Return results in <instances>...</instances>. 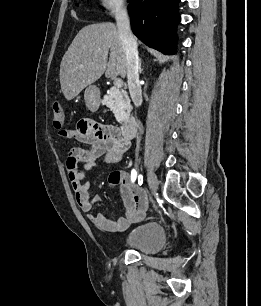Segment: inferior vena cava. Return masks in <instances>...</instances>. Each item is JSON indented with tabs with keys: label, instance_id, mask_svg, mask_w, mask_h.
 <instances>
[{
	"label": "inferior vena cava",
	"instance_id": "obj_1",
	"mask_svg": "<svg viewBox=\"0 0 261 306\" xmlns=\"http://www.w3.org/2000/svg\"><path fill=\"white\" fill-rule=\"evenodd\" d=\"M116 24L126 55V71L129 93L134 105L139 107L142 104V91L139 84V56L137 43L130 29L128 12L124 5H121L116 12Z\"/></svg>",
	"mask_w": 261,
	"mask_h": 306
}]
</instances>
